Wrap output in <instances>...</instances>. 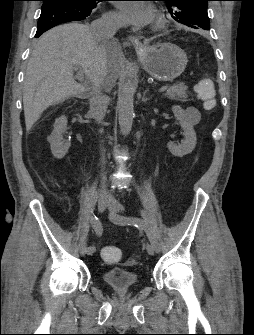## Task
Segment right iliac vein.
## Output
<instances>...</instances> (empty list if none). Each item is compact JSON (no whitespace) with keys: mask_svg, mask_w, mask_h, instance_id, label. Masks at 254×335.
I'll list each match as a JSON object with an SVG mask.
<instances>
[{"mask_svg":"<svg viewBox=\"0 0 254 335\" xmlns=\"http://www.w3.org/2000/svg\"><path fill=\"white\" fill-rule=\"evenodd\" d=\"M108 198L106 195H100L97 200V206L99 212H103L108 206ZM79 254L83 257L87 254V242H82L79 247Z\"/></svg>","mask_w":254,"mask_h":335,"instance_id":"1","label":"right iliac vein"}]
</instances>
